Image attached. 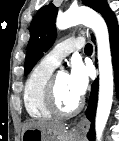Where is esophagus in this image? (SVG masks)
Here are the masks:
<instances>
[{"label": "esophagus", "instance_id": "1", "mask_svg": "<svg viewBox=\"0 0 119 141\" xmlns=\"http://www.w3.org/2000/svg\"><path fill=\"white\" fill-rule=\"evenodd\" d=\"M90 128V122L86 117L81 118L76 124L75 129L83 133H87Z\"/></svg>", "mask_w": 119, "mask_h": 141}]
</instances>
